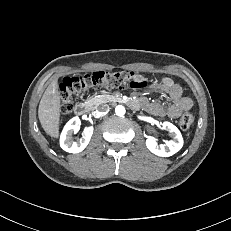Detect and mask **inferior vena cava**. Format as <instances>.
Instances as JSON below:
<instances>
[{
	"label": "inferior vena cava",
	"instance_id": "602c4592",
	"mask_svg": "<svg viewBox=\"0 0 231 231\" xmlns=\"http://www.w3.org/2000/svg\"><path fill=\"white\" fill-rule=\"evenodd\" d=\"M110 110V107L108 104H103L98 107V111L101 113V115H106Z\"/></svg>",
	"mask_w": 231,
	"mask_h": 231
}]
</instances>
